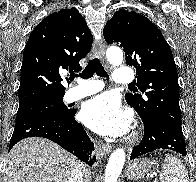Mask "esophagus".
Wrapping results in <instances>:
<instances>
[{
	"label": "esophagus",
	"mask_w": 196,
	"mask_h": 182,
	"mask_svg": "<svg viewBox=\"0 0 196 182\" xmlns=\"http://www.w3.org/2000/svg\"><path fill=\"white\" fill-rule=\"evenodd\" d=\"M93 49L100 59H105V45L102 41H94ZM111 149L112 145L109 143H99L96 145V152L99 157H104Z\"/></svg>",
	"instance_id": "34e87169"
}]
</instances>
